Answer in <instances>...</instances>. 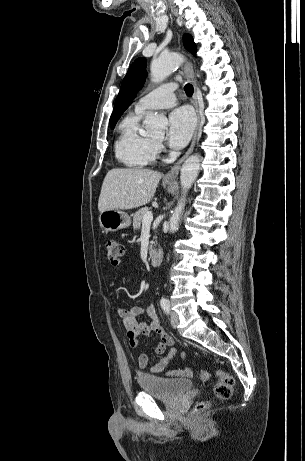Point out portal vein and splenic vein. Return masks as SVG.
<instances>
[{
    "mask_svg": "<svg viewBox=\"0 0 305 461\" xmlns=\"http://www.w3.org/2000/svg\"><path fill=\"white\" fill-rule=\"evenodd\" d=\"M153 220L152 212H147L143 217V224H150Z\"/></svg>",
    "mask_w": 305,
    "mask_h": 461,
    "instance_id": "1",
    "label": "portal vein and splenic vein"
}]
</instances>
